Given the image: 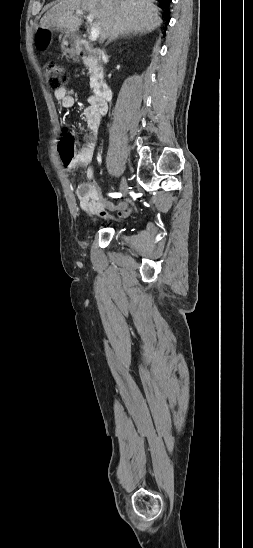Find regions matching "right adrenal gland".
<instances>
[{"instance_id": "right-adrenal-gland-1", "label": "right adrenal gland", "mask_w": 253, "mask_h": 548, "mask_svg": "<svg viewBox=\"0 0 253 548\" xmlns=\"http://www.w3.org/2000/svg\"><path fill=\"white\" fill-rule=\"evenodd\" d=\"M134 36L135 33H124V34H121L120 36L118 37H114V38H110L107 43L105 44V46H107L109 43H111L112 41H115L117 40L118 38H123V37H131V36Z\"/></svg>"}]
</instances>
